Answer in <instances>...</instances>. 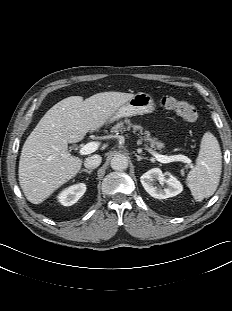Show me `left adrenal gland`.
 Wrapping results in <instances>:
<instances>
[{"instance_id": "1", "label": "left adrenal gland", "mask_w": 232, "mask_h": 311, "mask_svg": "<svg viewBox=\"0 0 232 311\" xmlns=\"http://www.w3.org/2000/svg\"><path fill=\"white\" fill-rule=\"evenodd\" d=\"M135 156L137 157V160H138V161H141L142 159H148L147 157H141V156L138 155V154H135Z\"/></svg>"}]
</instances>
